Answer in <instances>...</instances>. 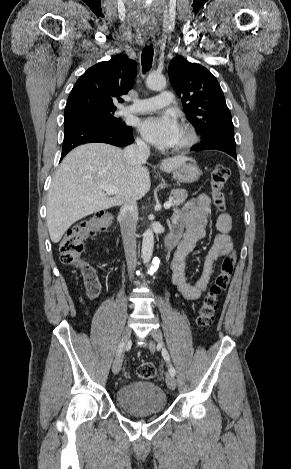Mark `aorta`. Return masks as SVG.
<instances>
[{
	"label": "aorta",
	"instance_id": "1",
	"mask_svg": "<svg viewBox=\"0 0 291 469\" xmlns=\"http://www.w3.org/2000/svg\"><path fill=\"white\" fill-rule=\"evenodd\" d=\"M146 85L151 90H162L166 87V79L162 75L150 74L146 79ZM154 248L153 231L147 229L143 234L142 240V259L144 263H149Z\"/></svg>",
	"mask_w": 291,
	"mask_h": 469
}]
</instances>
